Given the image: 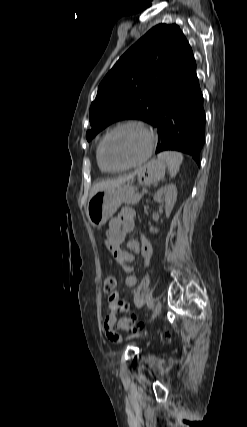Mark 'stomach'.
<instances>
[{"mask_svg":"<svg viewBox=\"0 0 247 427\" xmlns=\"http://www.w3.org/2000/svg\"><path fill=\"white\" fill-rule=\"evenodd\" d=\"M165 170V162L153 159L136 171L137 181L143 185L156 183L164 178ZM133 181L134 178L127 184L100 190L89 199L86 213L93 227L104 225L119 206L134 195L136 189L132 185Z\"/></svg>","mask_w":247,"mask_h":427,"instance_id":"stomach-1","label":"stomach"}]
</instances>
